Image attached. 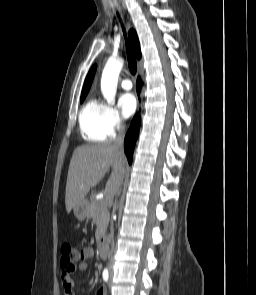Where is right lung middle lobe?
<instances>
[{
    "label": "right lung middle lobe",
    "instance_id": "dd1d6c3e",
    "mask_svg": "<svg viewBox=\"0 0 256 295\" xmlns=\"http://www.w3.org/2000/svg\"><path fill=\"white\" fill-rule=\"evenodd\" d=\"M85 97H86V94L85 95H81V102L84 101Z\"/></svg>",
    "mask_w": 256,
    "mask_h": 295
}]
</instances>
